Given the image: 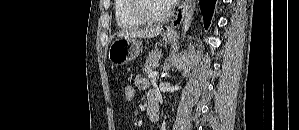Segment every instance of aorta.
<instances>
[{"label": "aorta", "instance_id": "obj_1", "mask_svg": "<svg viewBox=\"0 0 299 130\" xmlns=\"http://www.w3.org/2000/svg\"><path fill=\"white\" fill-rule=\"evenodd\" d=\"M192 18H193V7L190 6L186 9V11L184 13V21H183V31H184L183 35L184 36L190 27Z\"/></svg>", "mask_w": 299, "mask_h": 130}]
</instances>
